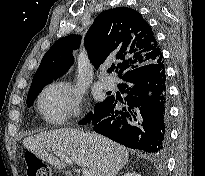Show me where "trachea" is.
Segmentation results:
<instances>
[{"label": "trachea", "mask_w": 205, "mask_h": 176, "mask_svg": "<svg viewBox=\"0 0 205 176\" xmlns=\"http://www.w3.org/2000/svg\"><path fill=\"white\" fill-rule=\"evenodd\" d=\"M112 71H114V68H109L108 72L111 73Z\"/></svg>", "instance_id": "trachea-1"}]
</instances>
